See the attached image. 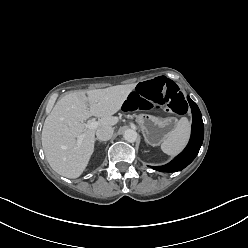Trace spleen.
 Wrapping results in <instances>:
<instances>
[{
    "label": "spleen",
    "mask_w": 248,
    "mask_h": 248,
    "mask_svg": "<svg viewBox=\"0 0 248 248\" xmlns=\"http://www.w3.org/2000/svg\"><path fill=\"white\" fill-rule=\"evenodd\" d=\"M190 136V123L186 117H182L170 132L166 140L161 144V149L168 155H176L186 146Z\"/></svg>",
    "instance_id": "1"
}]
</instances>
